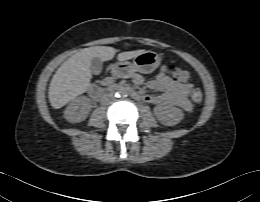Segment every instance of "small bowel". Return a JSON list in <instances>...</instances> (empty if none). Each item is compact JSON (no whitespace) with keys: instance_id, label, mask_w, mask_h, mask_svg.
<instances>
[{"instance_id":"small-bowel-1","label":"small bowel","mask_w":260,"mask_h":202,"mask_svg":"<svg viewBox=\"0 0 260 202\" xmlns=\"http://www.w3.org/2000/svg\"><path fill=\"white\" fill-rule=\"evenodd\" d=\"M131 80L137 84H143V77L138 73H132ZM112 81V78L107 79ZM148 88L159 92V95H145L143 100L152 104L169 103L176 105L186 112H191L192 105L187 98L192 88L191 84H179L167 75V67L162 66L155 79L147 84Z\"/></svg>"}]
</instances>
